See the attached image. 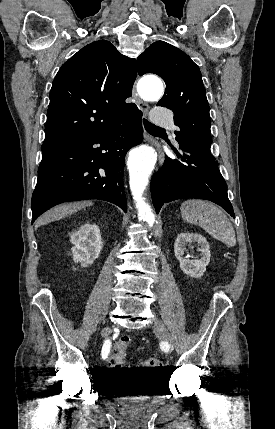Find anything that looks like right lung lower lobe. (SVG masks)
I'll return each instance as SVG.
<instances>
[{"instance_id":"98d812e1","label":"right lung lower lobe","mask_w":275,"mask_h":429,"mask_svg":"<svg viewBox=\"0 0 275 429\" xmlns=\"http://www.w3.org/2000/svg\"><path fill=\"white\" fill-rule=\"evenodd\" d=\"M141 111L98 132L45 151L32 195V223L68 201L100 199L127 211L123 188L125 155L143 140Z\"/></svg>"}]
</instances>
